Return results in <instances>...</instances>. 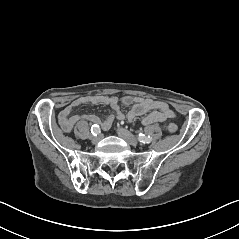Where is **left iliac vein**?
<instances>
[{
	"mask_svg": "<svg viewBox=\"0 0 239 239\" xmlns=\"http://www.w3.org/2000/svg\"><path fill=\"white\" fill-rule=\"evenodd\" d=\"M118 135L125 140L128 144L132 146H136L138 144V140L135 136H133L129 131L124 128H118L117 130Z\"/></svg>",
	"mask_w": 239,
	"mask_h": 239,
	"instance_id": "4c4485c4",
	"label": "left iliac vein"
}]
</instances>
